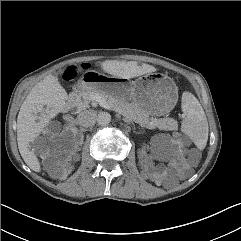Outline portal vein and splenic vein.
Instances as JSON below:
<instances>
[{"mask_svg":"<svg viewBox=\"0 0 241 241\" xmlns=\"http://www.w3.org/2000/svg\"><path fill=\"white\" fill-rule=\"evenodd\" d=\"M98 101L101 103V105H102L103 107H109L108 104H107L104 100L98 98Z\"/></svg>","mask_w":241,"mask_h":241,"instance_id":"18ae733b","label":"portal vein and splenic vein"}]
</instances>
